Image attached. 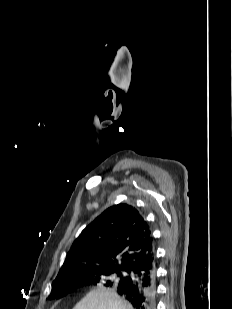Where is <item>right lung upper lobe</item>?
Masks as SVG:
<instances>
[{
	"instance_id": "obj_1",
	"label": "right lung upper lobe",
	"mask_w": 232,
	"mask_h": 309,
	"mask_svg": "<svg viewBox=\"0 0 232 309\" xmlns=\"http://www.w3.org/2000/svg\"><path fill=\"white\" fill-rule=\"evenodd\" d=\"M145 257H154L147 221L130 205H114L91 222L74 241L52 286L89 272L126 271ZM48 298L58 297L50 294Z\"/></svg>"
}]
</instances>
